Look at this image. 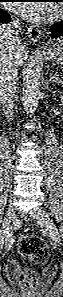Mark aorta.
<instances>
[{"label":"aorta","instance_id":"1","mask_svg":"<svg viewBox=\"0 0 63 297\" xmlns=\"http://www.w3.org/2000/svg\"><path fill=\"white\" fill-rule=\"evenodd\" d=\"M40 65L37 61H33L27 72L25 89L23 94V106L26 115L32 116L38 107L40 89H39Z\"/></svg>","mask_w":63,"mask_h":297}]
</instances>
